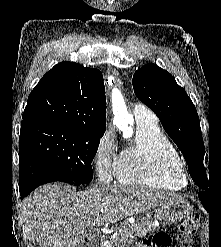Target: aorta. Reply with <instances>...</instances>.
<instances>
[{
  "instance_id": "1",
  "label": "aorta",
  "mask_w": 221,
  "mask_h": 247,
  "mask_svg": "<svg viewBox=\"0 0 221 247\" xmlns=\"http://www.w3.org/2000/svg\"><path fill=\"white\" fill-rule=\"evenodd\" d=\"M114 80L113 77L109 78V81ZM112 110L114 114V121L117 126L124 132L132 133V127L130 123L132 121L131 115L127 111V107L124 98L119 89L113 88L111 93Z\"/></svg>"
}]
</instances>
